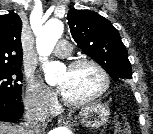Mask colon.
<instances>
[{
  "label": "colon",
  "instance_id": "5ec220e1",
  "mask_svg": "<svg viewBox=\"0 0 153 134\" xmlns=\"http://www.w3.org/2000/svg\"><path fill=\"white\" fill-rule=\"evenodd\" d=\"M101 134H130L124 116H120L116 121L106 125Z\"/></svg>",
  "mask_w": 153,
  "mask_h": 134
}]
</instances>
